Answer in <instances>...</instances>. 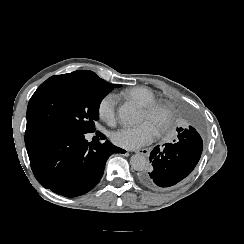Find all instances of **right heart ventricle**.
Returning a JSON list of instances; mask_svg holds the SVG:
<instances>
[{"label":"right heart ventricle","mask_w":244,"mask_h":244,"mask_svg":"<svg viewBox=\"0 0 244 244\" xmlns=\"http://www.w3.org/2000/svg\"><path fill=\"white\" fill-rule=\"evenodd\" d=\"M119 96L132 99L138 102L140 106H145L157 102L154 93L146 87H134L125 89L120 92Z\"/></svg>","instance_id":"obj_1"}]
</instances>
